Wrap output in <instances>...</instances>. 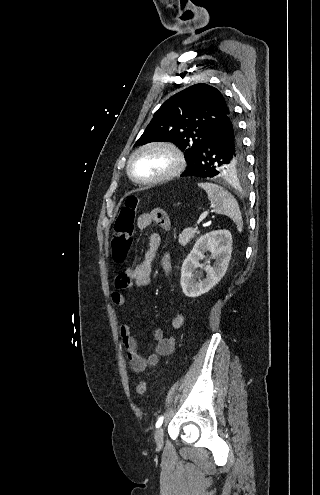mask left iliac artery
Instances as JSON below:
<instances>
[{"mask_svg": "<svg viewBox=\"0 0 320 495\" xmlns=\"http://www.w3.org/2000/svg\"><path fill=\"white\" fill-rule=\"evenodd\" d=\"M164 416H160L156 422V428H159L163 423Z\"/></svg>", "mask_w": 320, "mask_h": 495, "instance_id": "left-iliac-artery-1", "label": "left iliac artery"}]
</instances>
